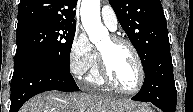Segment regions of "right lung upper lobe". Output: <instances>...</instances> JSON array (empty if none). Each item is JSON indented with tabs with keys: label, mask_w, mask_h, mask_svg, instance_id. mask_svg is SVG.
I'll use <instances>...</instances> for the list:
<instances>
[{
	"label": "right lung upper lobe",
	"mask_w": 193,
	"mask_h": 112,
	"mask_svg": "<svg viewBox=\"0 0 193 112\" xmlns=\"http://www.w3.org/2000/svg\"><path fill=\"white\" fill-rule=\"evenodd\" d=\"M77 0H21L18 7L17 29L38 23L76 25Z\"/></svg>",
	"instance_id": "1"
}]
</instances>
